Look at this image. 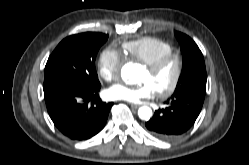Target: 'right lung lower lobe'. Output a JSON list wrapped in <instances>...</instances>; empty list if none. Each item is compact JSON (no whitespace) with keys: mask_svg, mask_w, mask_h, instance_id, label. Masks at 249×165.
Masks as SVG:
<instances>
[{"mask_svg":"<svg viewBox=\"0 0 249 165\" xmlns=\"http://www.w3.org/2000/svg\"><path fill=\"white\" fill-rule=\"evenodd\" d=\"M100 87L84 88L55 80L44 81L47 111L54 125L65 136L73 140H87L104 128L113 103H105L98 98Z\"/></svg>","mask_w":249,"mask_h":165,"instance_id":"right-lung-lower-lobe-1","label":"right lung lower lobe"}]
</instances>
